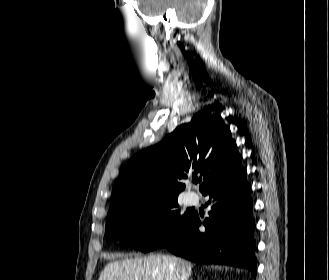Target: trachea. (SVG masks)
<instances>
[{
  "label": "trachea",
  "mask_w": 329,
  "mask_h": 280,
  "mask_svg": "<svg viewBox=\"0 0 329 280\" xmlns=\"http://www.w3.org/2000/svg\"><path fill=\"white\" fill-rule=\"evenodd\" d=\"M199 181L198 180H194V183H198Z\"/></svg>",
  "instance_id": "obj_1"
}]
</instances>
